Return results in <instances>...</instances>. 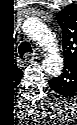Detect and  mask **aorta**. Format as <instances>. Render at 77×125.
<instances>
[{
	"label": "aorta",
	"instance_id": "obj_1",
	"mask_svg": "<svg viewBox=\"0 0 77 125\" xmlns=\"http://www.w3.org/2000/svg\"><path fill=\"white\" fill-rule=\"evenodd\" d=\"M39 36H40V38L42 36L43 45L47 46V48L49 50H51V52L56 51V49H57L56 43H55L54 37L51 34L46 33V34H41ZM50 62H52V60H50Z\"/></svg>",
	"mask_w": 77,
	"mask_h": 125
}]
</instances>
